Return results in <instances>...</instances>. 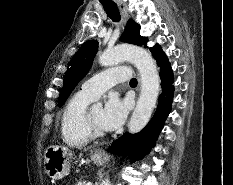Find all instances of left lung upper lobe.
<instances>
[{
    "mask_svg": "<svg viewBox=\"0 0 233 185\" xmlns=\"http://www.w3.org/2000/svg\"><path fill=\"white\" fill-rule=\"evenodd\" d=\"M140 26L133 20L127 22L122 41L146 46L148 39L140 36ZM98 49V42L90 40L85 42L69 63V67L64 77V84L58 99V106L61 107L78 82L86 75L91 67L92 61ZM151 49V48H150Z\"/></svg>",
    "mask_w": 233,
    "mask_h": 185,
    "instance_id": "5c2ea615",
    "label": "left lung upper lobe"
}]
</instances>
